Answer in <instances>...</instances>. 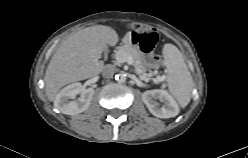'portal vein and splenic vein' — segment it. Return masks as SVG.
<instances>
[{"instance_id": "1", "label": "portal vein and splenic vein", "mask_w": 248, "mask_h": 158, "mask_svg": "<svg viewBox=\"0 0 248 158\" xmlns=\"http://www.w3.org/2000/svg\"><path fill=\"white\" fill-rule=\"evenodd\" d=\"M123 62H127L129 65H133V59L131 57L123 59Z\"/></svg>"}]
</instances>
